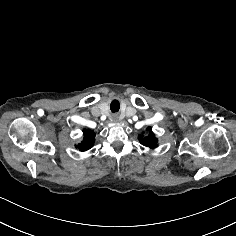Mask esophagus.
I'll return each mask as SVG.
<instances>
[{
	"instance_id": "1",
	"label": "esophagus",
	"mask_w": 236,
	"mask_h": 236,
	"mask_svg": "<svg viewBox=\"0 0 236 236\" xmlns=\"http://www.w3.org/2000/svg\"><path fill=\"white\" fill-rule=\"evenodd\" d=\"M109 118H110V121L112 123H117L119 121V115L118 114H112V115H110Z\"/></svg>"
}]
</instances>
